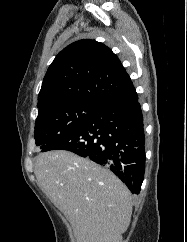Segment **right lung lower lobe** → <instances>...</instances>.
<instances>
[{"instance_id":"right-lung-lower-lobe-1","label":"right lung lower lobe","mask_w":187,"mask_h":242,"mask_svg":"<svg viewBox=\"0 0 187 242\" xmlns=\"http://www.w3.org/2000/svg\"><path fill=\"white\" fill-rule=\"evenodd\" d=\"M143 116L136 91L115 98L42 152L68 150L107 167L139 194L145 172Z\"/></svg>"}]
</instances>
